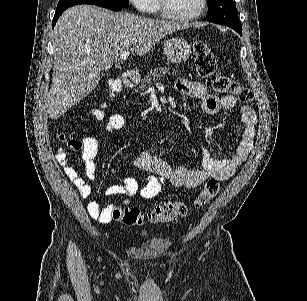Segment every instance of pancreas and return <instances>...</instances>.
Masks as SVG:
<instances>
[{
	"mask_svg": "<svg viewBox=\"0 0 307 301\" xmlns=\"http://www.w3.org/2000/svg\"><path fill=\"white\" fill-rule=\"evenodd\" d=\"M170 68L168 66H158V68H153V70H149L146 72L144 78H142L140 84H138V88L140 90H145V88H149L152 82H157L160 80L161 76H168Z\"/></svg>",
	"mask_w": 307,
	"mask_h": 301,
	"instance_id": "obj_1",
	"label": "pancreas"
}]
</instances>
